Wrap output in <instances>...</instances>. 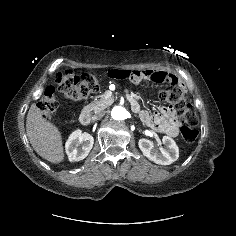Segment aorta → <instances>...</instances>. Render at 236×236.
<instances>
[{
    "mask_svg": "<svg viewBox=\"0 0 236 236\" xmlns=\"http://www.w3.org/2000/svg\"><path fill=\"white\" fill-rule=\"evenodd\" d=\"M126 116H127V110L122 105H116L111 110V117L114 120H123L126 118Z\"/></svg>",
    "mask_w": 236,
    "mask_h": 236,
    "instance_id": "obj_1",
    "label": "aorta"
}]
</instances>
